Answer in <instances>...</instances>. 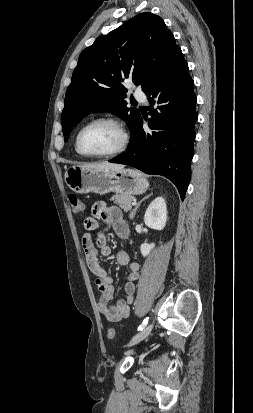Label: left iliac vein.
Wrapping results in <instances>:
<instances>
[{"instance_id":"1","label":"left iliac vein","mask_w":253,"mask_h":413,"mask_svg":"<svg viewBox=\"0 0 253 413\" xmlns=\"http://www.w3.org/2000/svg\"><path fill=\"white\" fill-rule=\"evenodd\" d=\"M153 324L147 325L143 330H141L138 334H136L131 341L129 342L128 346H133L142 340H144L152 331Z\"/></svg>"}]
</instances>
